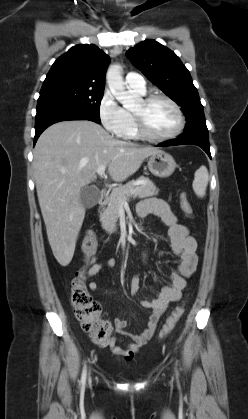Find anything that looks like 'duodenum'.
Returning <instances> with one entry per match:
<instances>
[{
	"instance_id": "obj_1",
	"label": "duodenum",
	"mask_w": 248,
	"mask_h": 419,
	"mask_svg": "<svg viewBox=\"0 0 248 419\" xmlns=\"http://www.w3.org/2000/svg\"><path fill=\"white\" fill-rule=\"evenodd\" d=\"M107 197H108V193L106 190H101L100 191V197H99V205L103 206L106 204L107 201Z\"/></svg>"
}]
</instances>
